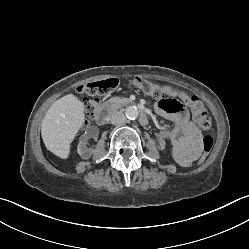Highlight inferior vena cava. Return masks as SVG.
Returning a JSON list of instances; mask_svg holds the SVG:
<instances>
[{
  "label": "inferior vena cava",
  "instance_id": "1",
  "mask_svg": "<svg viewBox=\"0 0 249 249\" xmlns=\"http://www.w3.org/2000/svg\"><path fill=\"white\" fill-rule=\"evenodd\" d=\"M111 124L117 125V124H123L126 122V117L121 111H116L112 113L110 117Z\"/></svg>",
  "mask_w": 249,
  "mask_h": 249
}]
</instances>
